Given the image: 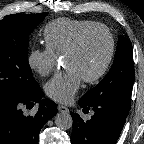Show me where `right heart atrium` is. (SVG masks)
Wrapping results in <instances>:
<instances>
[{"label": "right heart atrium", "instance_id": "d8ad5b80", "mask_svg": "<svg viewBox=\"0 0 144 144\" xmlns=\"http://www.w3.org/2000/svg\"><path fill=\"white\" fill-rule=\"evenodd\" d=\"M58 62V56L46 46L44 48H33L27 55L28 66L40 76L49 75Z\"/></svg>", "mask_w": 144, "mask_h": 144}]
</instances>
